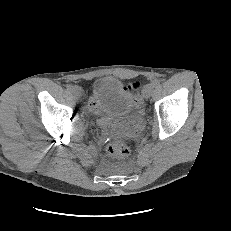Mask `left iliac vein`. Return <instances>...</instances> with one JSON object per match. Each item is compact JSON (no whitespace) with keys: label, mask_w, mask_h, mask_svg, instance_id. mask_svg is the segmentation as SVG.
I'll return each instance as SVG.
<instances>
[{"label":"left iliac vein","mask_w":231,"mask_h":231,"mask_svg":"<svg viewBox=\"0 0 231 231\" xmlns=\"http://www.w3.org/2000/svg\"><path fill=\"white\" fill-rule=\"evenodd\" d=\"M153 89H154V87H153L152 84H147V85L144 87L143 92H142V93H143V97H144L145 99L150 98L151 95H152V93H153Z\"/></svg>","instance_id":"left-iliac-vein-1"}]
</instances>
